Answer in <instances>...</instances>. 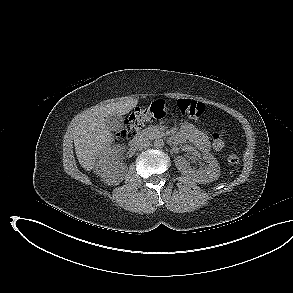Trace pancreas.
Wrapping results in <instances>:
<instances>
[{"label": "pancreas", "mask_w": 293, "mask_h": 293, "mask_svg": "<svg viewBox=\"0 0 293 293\" xmlns=\"http://www.w3.org/2000/svg\"><path fill=\"white\" fill-rule=\"evenodd\" d=\"M142 134L150 139L158 138L164 135V133L160 130L158 126H149L142 131Z\"/></svg>", "instance_id": "obj_1"}]
</instances>
